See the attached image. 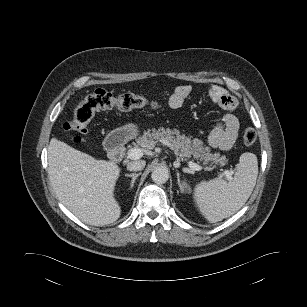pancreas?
Listing matches in <instances>:
<instances>
[{
  "label": "pancreas",
  "mask_w": 307,
  "mask_h": 307,
  "mask_svg": "<svg viewBox=\"0 0 307 307\" xmlns=\"http://www.w3.org/2000/svg\"><path fill=\"white\" fill-rule=\"evenodd\" d=\"M157 142L168 146L181 160L187 161L193 157L204 165H209L211 169L218 165L223 167L228 162L225 155L221 156L219 152L211 153V148L205 146L200 139L181 135L177 129L153 128L136 139L137 145L143 149H153Z\"/></svg>",
  "instance_id": "1"
}]
</instances>
